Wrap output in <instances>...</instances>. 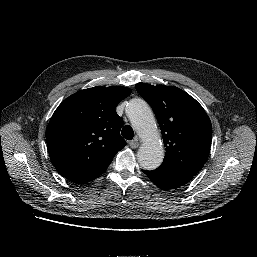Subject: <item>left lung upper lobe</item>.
<instances>
[{"mask_svg":"<svg viewBox=\"0 0 257 257\" xmlns=\"http://www.w3.org/2000/svg\"><path fill=\"white\" fill-rule=\"evenodd\" d=\"M135 88L152 107L161 128L166 154L160 167L195 176L211 146L212 125L205 110L177 87L138 83Z\"/></svg>","mask_w":257,"mask_h":257,"instance_id":"left-lung-upper-lobe-1","label":"left lung upper lobe"}]
</instances>
